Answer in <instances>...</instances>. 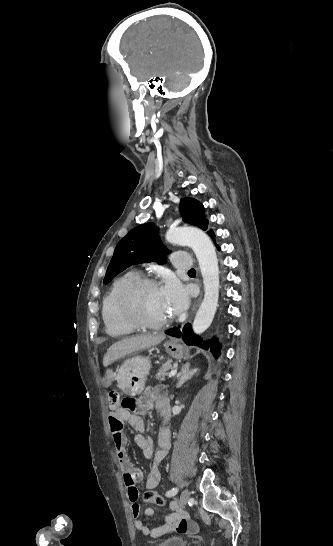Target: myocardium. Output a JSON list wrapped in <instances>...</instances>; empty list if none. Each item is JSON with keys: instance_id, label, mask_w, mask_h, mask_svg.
<instances>
[{"instance_id": "1", "label": "myocardium", "mask_w": 333, "mask_h": 546, "mask_svg": "<svg viewBox=\"0 0 333 546\" xmlns=\"http://www.w3.org/2000/svg\"><path fill=\"white\" fill-rule=\"evenodd\" d=\"M152 287H158L156 280L139 277L130 282L121 292L119 297V309L123 317L135 328L158 330L170 325L172 318L160 322H152L142 316L139 310V298L141 293Z\"/></svg>"}]
</instances>
